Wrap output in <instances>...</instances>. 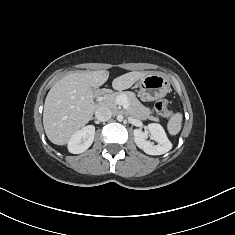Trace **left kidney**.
I'll return each instance as SVG.
<instances>
[{"mask_svg":"<svg viewBox=\"0 0 235 235\" xmlns=\"http://www.w3.org/2000/svg\"><path fill=\"white\" fill-rule=\"evenodd\" d=\"M151 139L157 142L148 141V134L140 129L134 130V139L136 145L149 155H162L172 148V144L160 124L151 123L147 126Z\"/></svg>","mask_w":235,"mask_h":235,"instance_id":"5707ae66","label":"left kidney"}]
</instances>
